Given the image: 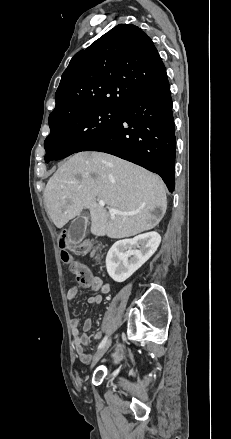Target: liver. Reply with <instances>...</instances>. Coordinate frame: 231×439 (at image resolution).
I'll use <instances>...</instances> for the list:
<instances>
[{
	"label": "liver",
	"mask_w": 231,
	"mask_h": 439,
	"mask_svg": "<svg viewBox=\"0 0 231 439\" xmlns=\"http://www.w3.org/2000/svg\"><path fill=\"white\" fill-rule=\"evenodd\" d=\"M100 200L128 214H111ZM44 201L57 228L89 209L91 233L114 239L153 228L167 208L158 175L101 152H79L61 164L46 185Z\"/></svg>",
	"instance_id": "obj_1"
}]
</instances>
